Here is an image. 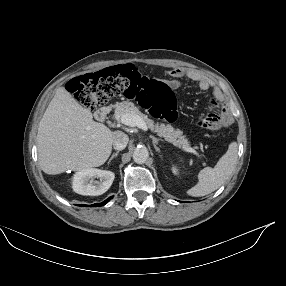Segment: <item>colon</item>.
<instances>
[{
	"mask_svg": "<svg viewBox=\"0 0 286 286\" xmlns=\"http://www.w3.org/2000/svg\"><path fill=\"white\" fill-rule=\"evenodd\" d=\"M70 91L88 109H95L115 96L136 98L149 109L153 116L174 122L177 119L175 97L170 86L162 81L143 75L132 65H118L74 78L69 83ZM198 115L194 124L198 128L217 129L226 123V118L216 111Z\"/></svg>",
	"mask_w": 286,
	"mask_h": 286,
	"instance_id": "1",
	"label": "colon"
}]
</instances>
